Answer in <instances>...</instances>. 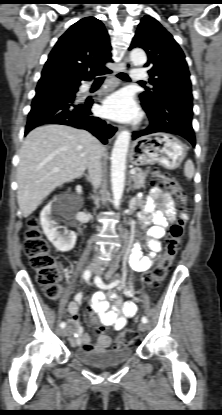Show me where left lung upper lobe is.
I'll return each instance as SVG.
<instances>
[{
    "label": "left lung upper lobe",
    "instance_id": "left-lung-upper-lobe-1",
    "mask_svg": "<svg viewBox=\"0 0 222 415\" xmlns=\"http://www.w3.org/2000/svg\"><path fill=\"white\" fill-rule=\"evenodd\" d=\"M135 47H140L147 53L148 62L145 67L149 68V82L153 85L151 90L147 88L140 94L142 104H156L158 92L164 85L177 81L190 82L183 51L173 36L156 19L148 15L142 18L129 49ZM179 106L180 101L172 99L169 107L161 109V113H172Z\"/></svg>",
    "mask_w": 222,
    "mask_h": 415
}]
</instances>
